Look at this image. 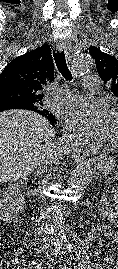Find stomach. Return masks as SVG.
I'll return each instance as SVG.
<instances>
[{"mask_svg": "<svg viewBox=\"0 0 118 269\" xmlns=\"http://www.w3.org/2000/svg\"><path fill=\"white\" fill-rule=\"evenodd\" d=\"M95 167L100 173L108 175L114 172L116 163L113 157L104 155L97 160Z\"/></svg>", "mask_w": 118, "mask_h": 269, "instance_id": "0dacf381", "label": "stomach"}]
</instances>
